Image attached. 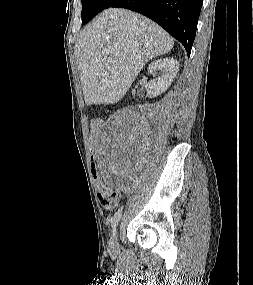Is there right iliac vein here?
<instances>
[{"instance_id": "1", "label": "right iliac vein", "mask_w": 253, "mask_h": 285, "mask_svg": "<svg viewBox=\"0 0 253 285\" xmlns=\"http://www.w3.org/2000/svg\"><path fill=\"white\" fill-rule=\"evenodd\" d=\"M109 250L111 253H117L119 250L118 244V231L115 230L110 238L109 241Z\"/></svg>"}]
</instances>
